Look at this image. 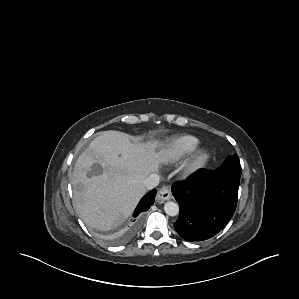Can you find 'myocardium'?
Returning <instances> with one entry per match:
<instances>
[{
    "label": "myocardium",
    "instance_id": "myocardium-1",
    "mask_svg": "<svg viewBox=\"0 0 299 299\" xmlns=\"http://www.w3.org/2000/svg\"><path fill=\"white\" fill-rule=\"evenodd\" d=\"M208 158H209L208 151H206V150L198 151L187 166L188 173H193L196 170L203 167V165L206 163Z\"/></svg>",
    "mask_w": 299,
    "mask_h": 299
}]
</instances>
